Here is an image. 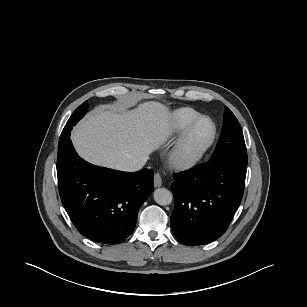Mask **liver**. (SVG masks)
I'll return each mask as SVG.
<instances>
[{"label":"liver","instance_id":"1","mask_svg":"<svg viewBox=\"0 0 307 307\" xmlns=\"http://www.w3.org/2000/svg\"><path fill=\"white\" fill-rule=\"evenodd\" d=\"M171 129L168 109L149 101L133 110L99 107L79 123L71 139L86 161L118 169L143 158L147 160L167 141Z\"/></svg>","mask_w":307,"mask_h":307}]
</instances>
